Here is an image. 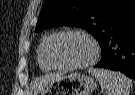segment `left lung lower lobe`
I'll return each instance as SVG.
<instances>
[{
  "label": "left lung lower lobe",
  "instance_id": "0a47b994",
  "mask_svg": "<svg viewBox=\"0 0 135 95\" xmlns=\"http://www.w3.org/2000/svg\"><path fill=\"white\" fill-rule=\"evenodd\" d=\"M100 47L102 57L95 67L120 71L135 81V16L110 34Z\"/></svg>",
  "mask_w": 135,
  "mask_h": 95
}]
</instances>
